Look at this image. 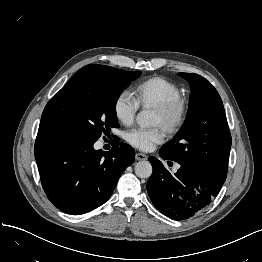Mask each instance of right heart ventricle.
<instances>
[{
	"label": "right heart ventricle",
	"instance_id": "e07e8e85",
	"mask_svg": "<svg viewBox=\"0 0 262 262\" xmlns=\"http://www.w3.org/2000/svg\"><path fill=\"white\" fill-rule=\"evenodd\" d=\"M181 96L180 87L174 82L156 76L137 85L134 98L139 105L156 107L157 105Z\"/></svg>",
	"mask_w": 262,
	"mask_h": 262
}]
</instances>
